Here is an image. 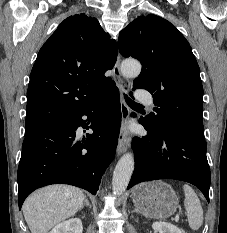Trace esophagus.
<instances>
[{
    "instance_id": "obj_1",
    "label": "esophagus",
    "mask_w": 227,
    "mask_h": 233,
    "mask_svg": "<svg viewBox=\"0 0 227 233\" xmlns=\"http://www.w3.org/2000/svg\"><path fill=\"white\" fill-rule=\"evenodd\" d=\"M120 62H121V58H120V55H118L117 61L113 68L114 79L116 80L117 85L120 87L122 91V95H121L122 126H121V132L119 136V142L117 146L118 155H121L122 153H124L129 148V145H130V139H129L128 130H127V123H128V118L130 115V110L123 98V92L127 93L129 91L130 81L128 78L124 77L123 74L121 73Z\"/></svg>"
}]
</instances>
